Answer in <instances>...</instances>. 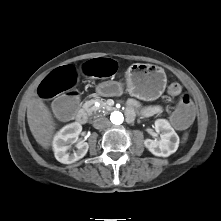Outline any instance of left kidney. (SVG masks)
I'll return each instance as SVG.
<instances>
[{
    "label": "left kidney",
    "instance_id": "1",
    "mask_svg": "<svg viewBox=\"0 0 221 221\" xmlns=\"http://www.w3.org/2000/svg\"><path fill=\"white\" fill-rule=\"evenodd\" d=\"M155 130L160 133V140L146 139L145 147L155 156L168 157L175 153L179 146V136L165 119L155 121Z\"/></svg>",
    "mask_w": 221,
    "mask_h": 221
}]
</instances>
